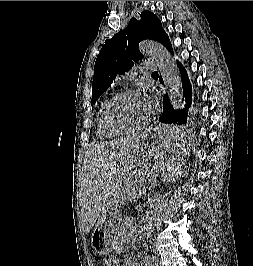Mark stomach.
<instances>
[{
	"label": "stomach",
	"mask_w": 253,
	"mask_h": 266,
	"mask_svg": "<svg viewBox=\"0 0 253 266\" xmlns=\"http://www.w3.org/2000/svg\"><path fill=\"white\" fill-rule=\"evenodd\" d=\"M166 138H185V136L183 134L179 135L178 132H173L169 126L160 127L154 142L150 143L145 139L142 140L136 145L131 155L125 157L119 163L109 183L108 199L105 209L91 237V244L96 253L107 255L118 244V230L122 221L120 198L123 177L134 167L149 161L155 153H160L162 147L166 149Z\"/></svg>",
	"instance_id": "stomach-1"
}]
</instances>
